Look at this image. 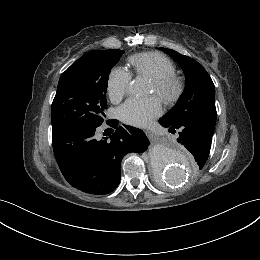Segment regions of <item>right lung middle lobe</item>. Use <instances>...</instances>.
Here are the masks:
<instances>
[{
  "instance_id": "obj_1",
  "label": "right lung middle lobe",
  "mask_w": 260,
  "mask_h": 260,
  "mask_svg": "<svg viewBox=\"0 0 260 260\" xmlns=\"http://www.w3.org/2000/svg\"><path fill=\"white\" fill-rule=\"evenodd\" d=\"M122 54L112 49L87 52L61 75L51 108L52 132L103 123L109 73Z\"/></svg>"
}]
</instances>
